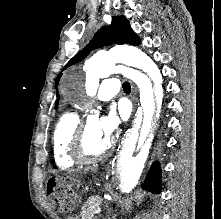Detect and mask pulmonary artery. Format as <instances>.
Here are the masks:
<instances>
[{"label":"pulmonary artery","instance_id":"e3ab8cb5","mask_svg":"<svg viewBox=\"0 0 221 219\" xmlns=\"http://www.w3.org/2000/svg\"><path fill=\"white\" fill-rule=\"evenodd\" d=\"M119 91V84L115 77L105 78L97 92V98L102 101H107L113 98Z\"/></svg>","mask_w":221,"mask_h":219}]
</instances>
